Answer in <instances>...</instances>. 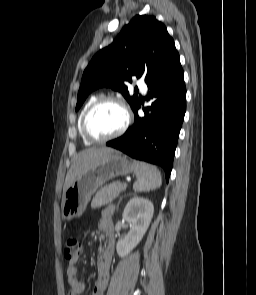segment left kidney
I'll use <instances>...</instances> for the list:
<instances>
[{
    "label": "left kidney",
    "mask_w": 256,
    "mask_h": 295,
    "mask_svg": "<svg viewBox=\"0 0 256 295\" xmlns=\"http://www.w3.org/2000/svg\"><path fill=\"white\" fill-rule=\"evenodd\" d=\"M154 213V206L146 198L135 196L126 204L122 217L130 224L128 234L117 242L120 257L127 256L142 240Z\"/></svg>",
    "instance_id": "obj_1"
}]
</instances>
